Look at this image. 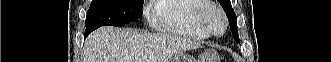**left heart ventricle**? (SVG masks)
<instances>
[{
  "label": "left heart ventricle",
  "mask_w": 331,
  "mask_h": 62,
  "mask_svg": "<svg viewBox=\"0 0 331 62\" xmlns=\"http://www.w3.org/2000/svg\"><path fill=\"white\" fill-rule=\"evenodd\" d=\"M209 22L213 29L217 32H220L222 30V20L217 12H210L209 15Z\"/></svg>",
  "instance_id": "1"
}]
</instances>
